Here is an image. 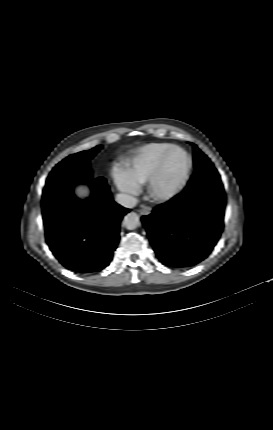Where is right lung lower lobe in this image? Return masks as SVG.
Here are the masks:
<instances>
[{
    "instance_id": "right-lung-lower-lobe-1",
    "label": "right lung lower lobe",
    "mask_w": 273,
    "mask_h": 430,
    "mask_svg": "<svg viewBox=\"0 0 273 430\" xmlns=\"http://www.w3.org/2000/svg\"><path fill=\"white\" fill-rule=\"evenodd\" d=\"M91 198L81 201L67 186L42 198L47 244L59 262L79 273L107 267L120 236V222L129 212L113 201L103 177L89 181Z\"/></svg>"
}]
</instances>
